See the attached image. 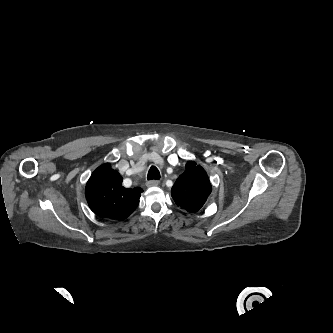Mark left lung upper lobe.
Listing matches in <instances>:
<instances>
[{
  "label": "left lung upper lobe",
  "instance_id": "5c2ea615",
  "mask_svg": "<svg viewBox=\"0 0 333 333\" xmlns=\"http://www.w3.org/2000/svg\"><path fill=\"white\" fill-rule=\"evenodd\" d=\"M212 186L206 171L189 161L186 170L176 180L171 195L177 205L188 212L198 211L206 202Z\"/></svg>",
  "mask_w": 333,
  "mask_h": 333
}]
</instances>
